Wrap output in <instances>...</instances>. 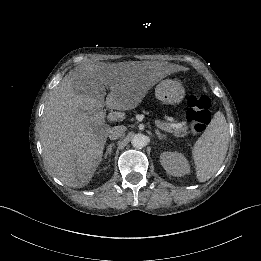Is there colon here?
Returning <instances> with one entry per match:
<instances>
[{"instance_id":"colon-1","label":"colon","mask_w":261,"mask_h":261,"mask_svg":"<svg viewBox=\"0 0 261 261\" xmlns=\"http://www.w3.org/2000/svg\"><path fill=\"white\" fill-rule=\"evenodd\" d=\"M186 121L194 134L203 132L211 119V100L203 94H194L187 99Z\"/></svg>"}]
</instances>
